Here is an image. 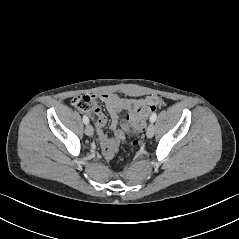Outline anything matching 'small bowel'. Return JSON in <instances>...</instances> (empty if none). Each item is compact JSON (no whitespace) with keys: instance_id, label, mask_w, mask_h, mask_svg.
<instances>
[{"instance_id":"small-bowel-1","label":"small bowel","mask_w":239,"mask_h":239,"mask_svg":"<svg viewBox=\"0 0 239 239\" xmlns=\"http://www.w3.org/2000/svg\"><path fill=\"white\" fill-rule=\"evenodd\" d=\"M90 98L93 103L92 112L97 117L95 120L97 134L101 143L103 155L107 159H111L114 156L119 143L124 139L126 131L128 130L127 124H124L122 129L118 128L120 112L127 111L129 113V122L130 117L140 107V105H142L143 103L157 104L159 102V99L154 96L140 100L121 97L115 93L92 95ZM98 101L104 103L106 110L110 116V127L114 131V136L112 138L108 137V135L103 130V127L107 122V118L100 109Z\"/></svg>"}]
</instances>
